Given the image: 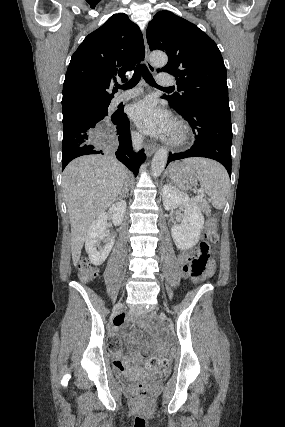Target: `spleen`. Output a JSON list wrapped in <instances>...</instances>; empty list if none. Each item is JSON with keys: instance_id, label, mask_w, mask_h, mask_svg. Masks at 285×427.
I'll list each match as a JSON object with an SVG mask.
<instances>
[{"instance_id": "spleen-1", "label": "spleen", "mask_w": 285, "mask_h": 427, "mask_svg": "<svg viewBox=\"0 0 285 427\" xmlns=\"http://www.w3.org/2000/svg\"><path fill=\"white\" fill-rule=\"evenodd\" d=\"M185 163L196 171L201 187L210 196L212 205L216 209H223L230 186L225 168L206 159H188Z\"/></svg>"}]
</instances>
